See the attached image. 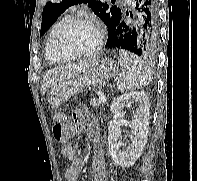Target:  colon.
<instances>
[{
	"label": "colon",
	"mask_w": 197,
	"mask_h": 181,
	"mask_svg": "<svg viewBox=\"0 0 197 181\" xmlns=\"http://www.w3.org/2000/svg\"><path fill=\"white\" fill-rule=\"evenodd\" d=\"M68 119L63 115H55L52 119L51 128L55 138L63 141L68 136Z\"/></svg>",
	"instance_id": "1"
}]
</instances>
